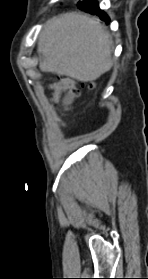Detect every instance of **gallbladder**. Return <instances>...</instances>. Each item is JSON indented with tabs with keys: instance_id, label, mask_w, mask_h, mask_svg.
I'll use <instances>...</instances> for the list:
<instances>
[{
	"instance_id": "bac80fb5",
	"label": "gallbladder",
	"mask_w": 148,
	"mask_h": 279,
	"mask_svg": "<svg viewBox=\"0 0 148 279\" xmlns=\"http://www.w3.org/2000/svg\"><path fill=\"white\" fill-rule=\"evenodd\" d=\"M39 61H40V65L42 66L44 62V56L42 54H39Z\"/></svg>"
}]
</instances>
